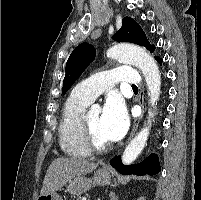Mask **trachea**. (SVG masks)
<instances>
[{
    "instance_id": "3493384b",
    "label": "trachea",
    "mask_w": 201,
    "mask_h": 200,
    "mask_svg": "<svg viewBox=\"0 0 201 200\" xmlns=\"http://www.w3.org/2000/svg\"><path fill=\"white\" fill-rule=\"evenodd\" d=\"M132 88L133 89H138L136 85H132Z\"/></svg>"
}]
</instances>
